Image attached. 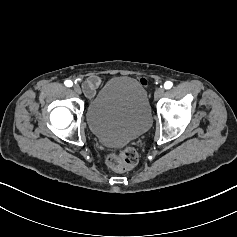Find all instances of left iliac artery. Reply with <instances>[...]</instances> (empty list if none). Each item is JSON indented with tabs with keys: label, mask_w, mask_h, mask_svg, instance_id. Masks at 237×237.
Masks as SVG:
<instances>
[{
	"label": "left iliac artery",
	"mask_w": 237,
	"mask_h": 237,
	"mask_svg": "<svg viewBox=\"0 0 237 237\" xmlns=\"http://www.w3.org/2000/svg\"><path fill=\"white\" fill-rule=\"evenodd\" d=\"M172 86H173V83L170 82V81H167V82H165V84H164V88H165V89H170Z\"/></svg>",
	"instance_id": "obj_1"
}]
</instances>
